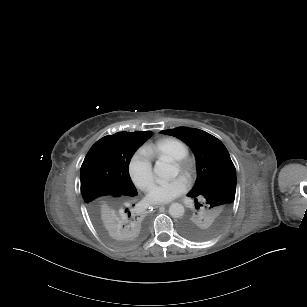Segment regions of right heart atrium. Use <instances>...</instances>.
Listing matches in <instances>:
<instances>
[{"mask_svg": "<svg viewBox=\"0 0 307 307\" xmlns=\"http://www.w3.org/2000/svg\"><path fill=\"white\" fill-rule=\"evenodd\" d=\"M128 172L132 181L143 186L152 178V158L142 148L137 149L129 158Z\"/></svg>", "mask_w": 307, "mask_h": 307, "instance_id": "1", "label": "right heart atrium"}]
</instances>
